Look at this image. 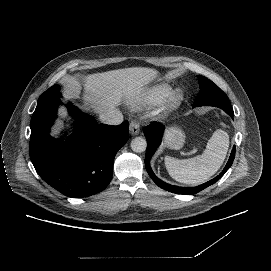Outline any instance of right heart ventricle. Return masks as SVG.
<instances>
[{"label": "right heart ventricle", "mask_w": 271, "mask_h": 271, "mask_svg": "<svg viewBox=\"0 0 271 271\" xmlns=\"http://www.w3.org/2000/svg\"><path fill=\"white\" fill-rule=\"evenodd\" d=\"M173 85L168 82H160L149 86L143 90L134 102L135 107L145 104L157 105L166 101L173 91Z\"/></svg>", "instance_id": "e07e8e85"}]
</instances>
